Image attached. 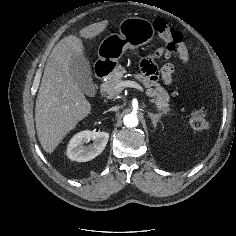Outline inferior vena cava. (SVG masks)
Masks as SVG:
<instances>
[{
  "label": "inferior vena cava",
  "mask_w": 236,
  "mask_h": 236,
  "mask_svg": "<svg viewBox=\"0 0 236 236\" xmlns=\"http://www.w3.org/2000/svg\"><path fill=\"white\" fill-rule=\"evenodd\" d=\"M117 110H119V106H114L109 109V111H117Z\"/></svg>",
  "instance_id": "1"
}]
</instances>
